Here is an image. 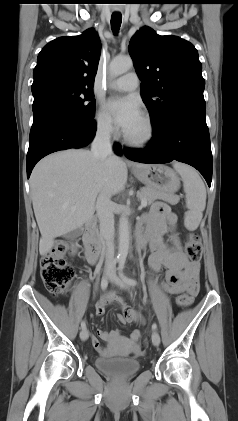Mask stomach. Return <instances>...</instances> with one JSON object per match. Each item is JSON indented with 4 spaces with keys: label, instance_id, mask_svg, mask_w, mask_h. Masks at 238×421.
Segmentation results:
<instances>
[{
    "label": "stomach",
    "instance_id": "0dacf381",
    "mask_svg": "<svg viewBox=\"0 0 238 421\" xmlns=\"http://www.w3.org/2000/svg\"><path fill=\"white\" fill-rule=\"evenodd\" d=\"M133 174L146 187L155 188L168 194H174L180 188V179L176 172L163 164L136 168L133 169Z\"/></svg>",
    "mask_w": 238,
    "mask_h": 421
}]
</instances>
